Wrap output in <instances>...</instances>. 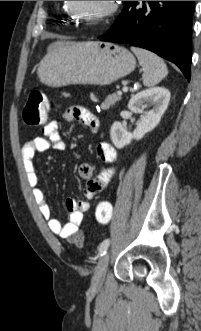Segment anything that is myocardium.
Instances as JSON below:
<instances>
[{
  "instance_id": "f54148a6",
  "label": "myocardium",
  "mask_w": 201,
  "mask_h": 331,
  "mask_svg": "<svg viewBox=\"0 0 201 331\" xmlns=\"http://www.w3.org/2000/svg\"><path fill=\"white\" fill-rule=\"evenodd\" d=\"M67 7H68L69 11H71V10L73 11L74 17L84 20L87 23H98V22L105 21L106 19L113 16L115 14V12L117 11L118 4H117V1H107L106 7L104 8V10L92 17H85L83 15L76 13L74 11L72 1H67Z\"/></svg>"
}]
</instances>
